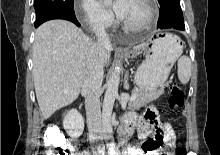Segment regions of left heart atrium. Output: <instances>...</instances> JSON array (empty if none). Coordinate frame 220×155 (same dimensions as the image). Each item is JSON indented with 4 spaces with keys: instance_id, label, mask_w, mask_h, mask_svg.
<instances>
[{
    "instance_id": "1",
    "label": "left heart atrium",
    "mask_w": 220,
    "mask_h": 155,
    "mask_svg": "<svg viewBox=\"0 0 220 155\" xmlns=\"http://www.w3.org/2000/svg\"><path fill=\"white\" fill-rule=\"evenodd\" d=\"M130 0H116L113 4L115 13L122 19L128 9Z\"/></svg>"
}]
</instances>
